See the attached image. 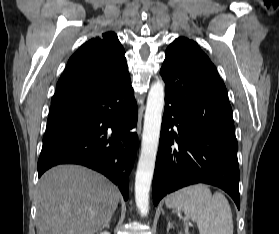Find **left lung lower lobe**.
Segmentation results:
<instances>
[{
	"mask_svg": "<svg viewBox=\"0 0 279 234\" xmlns=\"http://www.w3.org/2000/svg\"><path fill=\"white\" fill-rule=\"evenodd\" d=\"M159 150L153 178L154 205L182 187L207 183L226 191L240 209L239 166L232 109L213 64L166 50Z\"/></svg>",
	"mask_w": 279,
	"mask_h": 234,
	"instance_id": "0a47b994",
	"label": "left lung lower lobe"
}]
</instances>
